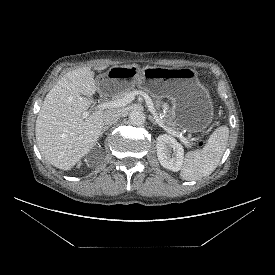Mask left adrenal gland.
Here are the masks:
<instances>
[{"instance_id":"obj_1","label":"left adrenal gland","mask_w":275,"mask_h":275,"mask_svg":"<svg viewBox=\"0 0 275 275\" xmlns=\"http://www.w3.org/2000/svg\"><path fill=\"white\" fill-rule=\"evenodd\" d=\"M149 120L153 123V124H157V122L154 120V118L152 116H149Z\"/></svg>"}]
</instances>
